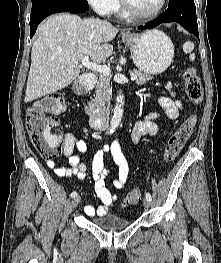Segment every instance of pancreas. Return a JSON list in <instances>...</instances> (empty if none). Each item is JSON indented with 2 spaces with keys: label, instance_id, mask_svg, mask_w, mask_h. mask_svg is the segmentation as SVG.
Listing matches in <instances>:
<instances>
[{
  "label": "pancreas",
  "instance_id": "1",
  "mask_svg": "<svg viewBox=\"0 0 221 263\" xmlns=\"http://www.w3.org/2000/svg\"><path fill=\"white\" fill-rule=\"evenodd\" d=\"M134 74L137 75L136 84L144 85L147 81L151 80L153 77L141 70H135ZM111 100V88L110 79L104 75L99 76V80L95 87V95L93 99L94 106H100L102 108H109Z\"/></svg>",
  "mask_w": 221,
  "mask_h": 263
}]
</instances>
